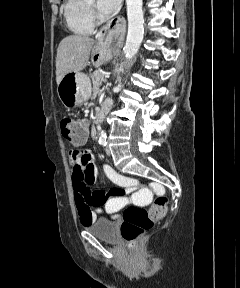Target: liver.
Masks as SVG:
<instances>
[{"label":"liver","mask_w":240,"mask_h":288,"mask_svg":"<svg viewBox=\"0 0 240 288\" xmlns=\"http://www.w3.org/2000/svg\"><path fill=\"white\" fill-rule=\"evenodd\" d=\"M95 40L80 35H70L62 39L57 49L56 81L71 72H80L89 64L90 52Z\"/></svg>","instance_id":"obj_1"}]
</instances>
